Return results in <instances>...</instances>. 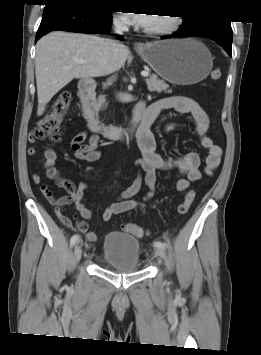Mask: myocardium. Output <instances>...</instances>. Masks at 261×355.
<instances>
[{
    "label": "myocardium",
    "mask_w": 261,
    "mask_h": 355,
    "mask_svg": "<svg viewBox=\"0 0 261 355\" xmlns=\"http://www.w3.org/2000/svg\"><path fill=\"white\" fill-rule=\"evenodd\" d=\"M180 25H181V17L177 15H172L169 16V21L167 24L152 29L146 28L144 31L148 35H152V36H165L175 32L180 27Z\"/></svg>",
    "instance_id": "f54148a6"
}]
</instances>
